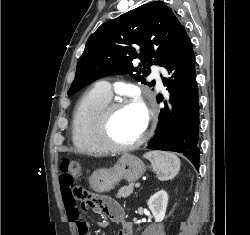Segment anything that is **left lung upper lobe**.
Returning a JSON list of instances; mask_svg holds the SVG:
<instances>
[{
    "mask_svg": "<svg viewBox=\"0 0 250 235\" xmlns=\"http://www.w3.org/2000/svg\"><path fill=\"white\" fill-rule=\"evenodd\" d=\"M181 29L172 9L161 1L144 4L102 24L86 43L68 96L113 74H130L153 86L155 81L146 82L144 77L150 74L151 65L163 66ZM137 58L142 68L132 65Z\"/></svg>",
    "mask_w": 250,
    "mask_h": 235,
    "instance_id": "obj_1",
    "label": "left lung upper lobe"
}]
</instances>
